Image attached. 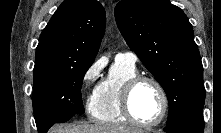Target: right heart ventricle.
<instances>
[{
  "mask_svg": "<svg viewBox=\"0 0 221 133\" xmlns=\"http://www.w3.org/2000/svg\"><path fill=\"white\" fill-rule=\"evenodd\" d=\"M136 75L135 66L115 61L109 75L100 82L95 90L90 107L91 116L105 124L128 123L121 109V90L124 83Z\"/></svg>",
  "mask_w": 221,
  "mask_h": 133,
  "instance_id": "obj_1",
  "label": "right heart ventricle"
}]
</instances>
